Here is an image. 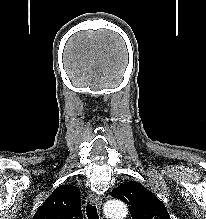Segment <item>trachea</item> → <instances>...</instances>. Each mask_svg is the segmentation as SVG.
<instances>
[{"instance_id": "3493384b", "label": "trachea", "mask_w": 206, "mask_h": 219, "mask_svg": "<svg viewBox=\"0 0 206 219\" xmlns=\"http://www.w3.org/2000/svg\"><path fill=\"white\" fill-rule=\"evenodd\" d=\"M86 212L88 219H99L96 206L87 203Z\"/></svg>"}]
</instances>
